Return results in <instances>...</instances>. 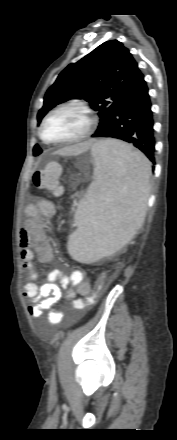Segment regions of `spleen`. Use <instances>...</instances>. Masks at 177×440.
Listing matches in <instances>:
<instances>
[{"label": "spleen", "mask_w": 177, "mask_h": 440, "mask_svg": "<svg viewBox=\"0 0 177 440\" xmlns=\"http://www.w3.org/2000/svg\"><path fill=\"white\" fill-rule=\"evenodd\" d=\"M94 182L78 206V229L67 249L80 262L114 254L142 226L151 168L139 151L115 140L99 141L92 149Z\"/></svg>", "instance_id": "1"}]
</instances>
